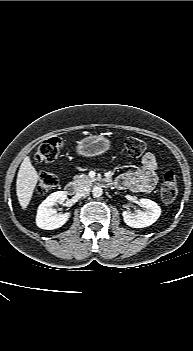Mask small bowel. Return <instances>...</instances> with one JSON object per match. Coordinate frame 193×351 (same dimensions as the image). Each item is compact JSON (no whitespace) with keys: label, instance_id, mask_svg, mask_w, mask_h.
<instances>
[{"label":"small bowel","instance_id":"small-bowel-1","mask_svg":"<svg viewBox=\"0 0 193 351\" xmlns=\"http://www.w3.org/2000/svg\"><path fill=\"white\" fill-rule=\"evenodd\" d=\"M157 169L158 162L155 155L148 152L142 157V166L135 171L120 175L117 184L135 193H150L157 184Z\"/></svg>","mask_w":193,"mask_h":351}]
</instances>
